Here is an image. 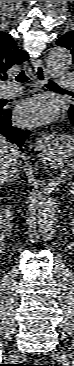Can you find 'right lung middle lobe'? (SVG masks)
<instances>
[{
  "label": "right lung middle lobe",
  "instance_id": "right-lung-middle-lobe-1",
  "mask_svg": "<svg viewBox=\"0 0 74 366\" xmlns=\"http://www.w3.org/2000/svg\"><path fill=\"white\" fill-rule=\"evenodd\" d=\"M1 104H3V101H2V100H0V105H1Z\"/></svg>",
  "mask_w": 74,
  "mask_h": 366
}]
</instances>
